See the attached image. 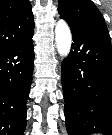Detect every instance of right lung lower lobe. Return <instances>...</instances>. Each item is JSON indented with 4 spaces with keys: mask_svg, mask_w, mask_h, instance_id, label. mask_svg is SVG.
<instances>
[{
    "mask_svg": "<svg viewBox=\"0 0 112 135\" xmlns=\"http://www.w3.org/2000/svg\"><path fill=\"white\" fill-rule=\"evenodd\" d=\"M33 32L0 53V135H23L32 82Z\"/></svg>",
    "mask_w": 112,
    "mask_h": 135,
    "instance_id": "1",
    "label": "right lung lower lobe"
}]
</instances>
